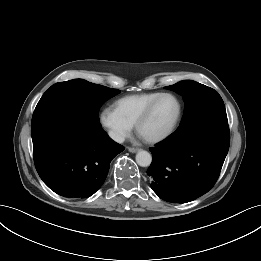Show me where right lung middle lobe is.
I'll list each match as a JSON object with an SVG mask.
<instances>
[{"label":"right lung middle lobe","instance_id":"1","mask_svg":"<svg viewBox=\"0 0 261 261\" xmlns=\"http://www.w3.org/2000/svg\"><path fill=\"white\" fill-rule=\"evenodd\" d=\"M120 93L83 79H74L52 85L41 97L33 113L32 122L54 112H68L98 120L102 104Z\"/></svg>","mask_w":261,"mask_h":261}]
</instances>
